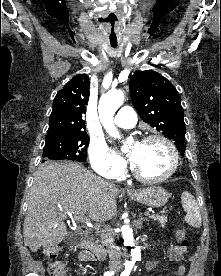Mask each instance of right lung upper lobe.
Segmentation results:
<instances>
[{
    "label": "right lung upper lobe",
    "instance_id": "1",
    "mask_svg": "<svg viewBox=\"0 0 221 276\" xmlns=\"http://www.w3.org/2000/svg\"><path fill=\"white\" fill-rule=\"evenodd\" d=\"M89 80L86 74L74 76L60 91L53 102L47 136L85 132L82 115L89 99Z\"/></svg>",
    "mask_w": 221,
    "mask_h": 276
}]
</instances>
